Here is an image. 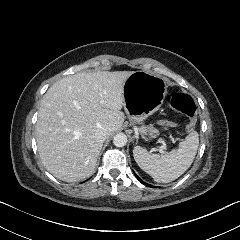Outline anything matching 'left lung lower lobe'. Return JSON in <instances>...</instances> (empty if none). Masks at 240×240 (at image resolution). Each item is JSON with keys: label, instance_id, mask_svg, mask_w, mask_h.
<instances>
[{"label": "left lung lower lobe", "instance_id": "left-lung-lower-lobe-1", "mask_svg": "<svg viewBox=\"0 0 240 240\" xmlns=\"http://www.w3.org/2000/svg\"><path fill=\"white\" fill-rule=\"evenodd\" d=\"M136 177H137V179H138L141 183H143V184L149 186L147 183H145L144 181H142L137 175H136Z\"/></svg>", "mask_w": 240, "mask_h": 240}]
</instances>
